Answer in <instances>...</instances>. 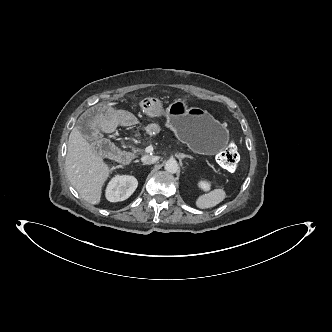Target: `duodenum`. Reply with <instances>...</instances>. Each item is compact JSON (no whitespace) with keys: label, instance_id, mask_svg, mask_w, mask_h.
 I'll return each instance as SVG.
<instances>
[{"label":"duodenum","instance_id":"1","mask_svg":"<svg viewBox=\"0 0 332 332\" xmlns=\"http://www.w3.org/2000/svg\"><path fill=\"white\" fill-rule=\"evenodd\" d=\"M118 159L121 164H129L132 160V155L129 152H121L118 154Z\"/></svg>","mask_w":332,"mask_h":332}]
</instances>
